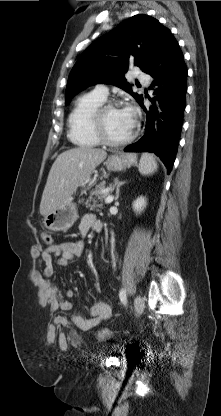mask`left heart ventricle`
Segmentation results:
<instances>
[{
	"mask_svg": "<svg viewBox=\"0 0 221 416\" xmlns=\"http://www.w3.org/2000/svg\"><path fill=\"white\" fill-rule=\"evenodd\" d=\"M134 120L123 109L108 110L104 115V125L107 135L116 141L128 137L132 131Z\"/></svg>",
	"mask_w": 221,
	"mask_h": 416,
	"instance_id": "obj_1",
	"label": "left heart ventricle"
}]
</instances>
